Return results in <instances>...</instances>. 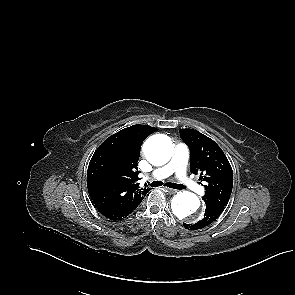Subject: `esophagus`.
Listing matches in <instances>:
<instances>
[{"label":"esophagus","mask_w":295,"mask_h":295,"mask_svg":"<svg viewBox=\"0 0 295 295\" xmlns=\"http://www.w3.org/2000/svg\"><path fill=\"white\" fill-rule=\"evenodd\" d=\"M166 191L169 193V194H175L177 192V190L175 189H171V188H166Z\"/></svg>","instance_id":"1"}]
</instances>
